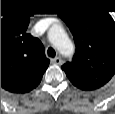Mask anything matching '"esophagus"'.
Returning a JSON list of instances; mask_svg holds the SVG:
<instances>
[{
  "mask_svg": "<svg viewBox=\"0 0 115 114\" xmlns=\"http://www.w3.org/2000/svg\"><path fill=\"white\" fill-rule=\"evenodd\" d=\"M52 63L56 64V65H61L62 64V59L60 57H55L52 60Z\"/></svg>",
  "mask_w": 115,
  "mask_h": 114,
  "instance_id": "34e87169",
  "label": "esophagus"
}]
</instances>
